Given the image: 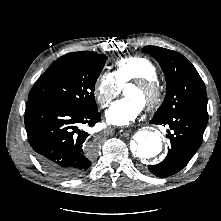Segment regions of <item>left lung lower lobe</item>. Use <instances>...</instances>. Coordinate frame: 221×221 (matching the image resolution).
<instances>
[{
    "label": "left lung lower lobe",
    "instance_id": "obj_1",
    "mask_svg": "<svg viewBox=\"0 0 221 221\" xmlns=\"http://www.w3.org/2000/svg\"><path fill=\"white\" fill-rule=\"evenodd\" d=\"M208 118L195 111L173 114L167 118H154L150 123L168 125L171 147L159 164L150 165V172L158 177H168L182 170L198 150Z\"/></svg>",
    "mask_w": 221,
    "mask_h": 221
}]
</instances>
